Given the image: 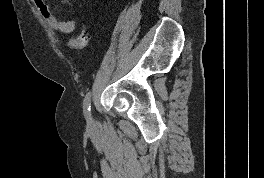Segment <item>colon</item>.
<instances>
[{"label": "colon", "instance_id": "5ec220e1", "mask_svg": "<svg viewBox=\"0 0 264 178\" xmlns=\"http://www.w3.org/2000/svg\"><path fill=\"white\" fill-rule=\"evenodd\" d=\"M89 44L88 29L85 25L82 26L79 34L69 41V46L80 51L85 50Z\"/></svg>", "mask_w": 264, "mask_h": 178}]
</instances>
